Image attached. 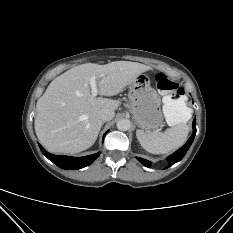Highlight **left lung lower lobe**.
Masks as SVG:
<instances>
[{"label": "left lung lower lobe", "mask_w": 233, "mask_h": 233, "mask_svg": "<svg viewBox=\"0 0 233 233\" xmlns=\"http://www.w3.org/2000/svg\"><path fill=\"white\" fill-rule=\"evenodd\" d=\"M192 126H193V133H192L191 137L189 138V140L186 142V144L167 158V160L169 161V166L168 167H170L171 165L179 162L184 157V155L188 151L189 147L191 146V144H192V142L194 140V137L196 135V118H194ZM137 159L144 166L150 167L151 163L149 161L144 160V159L139 158V157H137Z\"/></svg>", "instance_id": "left-lung-lower-lobe-1"}]
</instances>
